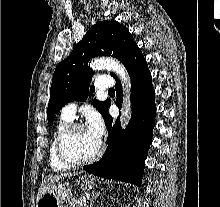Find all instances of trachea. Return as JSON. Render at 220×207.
I'll list each match as a JSON object with an SVG mask.
<instances>
[{
    "label": "trachea",
    "instance_id": "trachea-1",
    "mask_svg": "<svg viewBox=\"0 0 220 207\" xmlns=\"http://www.w3.org/2000/svg\"><path fill=\"white\" fill-rule=\"evenodd\" d=\"M108 92H115V90H114V88H112Z\"/></svg>",
    "mask_w": 220,
    "mask_h": 207
}]
</instances>
